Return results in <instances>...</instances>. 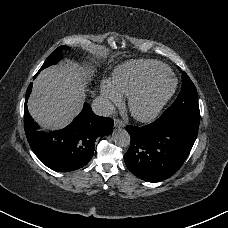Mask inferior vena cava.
<instances>
[{
  "instance_id": "602c4592",
  "label": "inferior vena cava",
  "mask_w": 228,
  "mask_h": 228,
  "mask_svg": "<svg viewBox=\"0 0 228 228\" xmlns=\"http://www.w3.org/2000/svg\"><path fill=\"white\" fill-rule=\"evenodd\" d=\"M92 110L96 115L108 117L114 112V105L106 97L99 96L93 100Z\"/></svg>"
}]
</instances>
